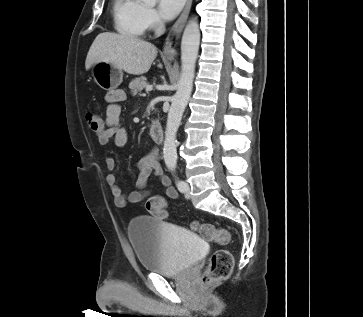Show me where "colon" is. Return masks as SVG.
I'll list each match as a JSON object with an SVG mask.
<instances>
[{"label":"colon","instance_id":"1","mask_svg":"<svg viewBox=\"0 0 363 317\" xmlns=\"http://www.w3.org/2000/svg\"><path fill=\"white\" fill-rule=\"evenodd\" d=\"M86 122L89 129L100 134L104 129L102 118L92 112L86 113ZM147 211L155 218L164 220L167 218L165 201L159 197H152L146 201ZM192 228L197 230L205 239L221 245L229 242V233L226 229L216 227L210 223H192ZM234 260L231 253L226 249L216 250L210 257L207 269L201 278L203 289H207L214 283L227 279L233 270Z\"/></svg>","mask_w":363,"mask_h":317}]
</instances>
